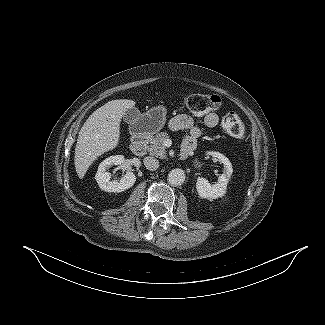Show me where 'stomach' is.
<instances>
[{
	"mask_svg": "<svg viewBox=\"0 0 325 325\" xmlns=\"http://www.w3.org/2000/svg\"><path fill=\"white\" fill-rule=\"evenodd\" d=\"M166 122V110L158 106L150 109L148 112L140 115L133 122V134L145 135L155 134L160 131Z\"/></svg>",
	"mask_w": 325,
	"mask_h": 325,
	"instance_id": "stomach-1",
	"label": "stomach"
}]
</instances>
